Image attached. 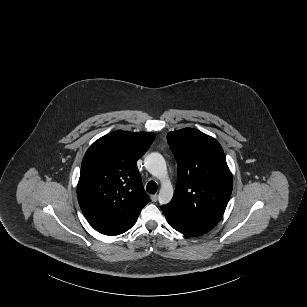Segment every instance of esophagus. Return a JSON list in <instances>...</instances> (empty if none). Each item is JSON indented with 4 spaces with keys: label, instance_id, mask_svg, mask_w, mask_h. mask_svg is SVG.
Masks as SVG:
<instances>
[{
    "label": "esophagus",
    "instance_id": "obj_1",
    "mask_svg": "<svg viewBox=\"0 0 307 307\" xmlns=\"http://www.w3.org/2000/svg\"><path fill=\"white\" fill-rule=\"evenodd\" d=\"M150 198H151L152 202H156L157 199H158L157 194H152Z\"/></svg>",
    "mask_w": 307,
    "mask_h": 307
}]
</instances>
